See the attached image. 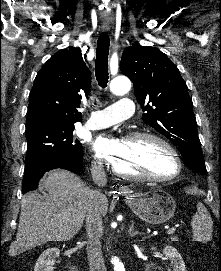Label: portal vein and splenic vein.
<instances>
[{
    "label": "portal vein and splenic vein",
    "instance_id": "portal-vein-and-splenic-vein-1",
    "mask_svg": "<svg viewBox=\"0 0 221 271\" xmlns=\"http://www.w3.org/2000/svg\"><path fill=\"white\" fill-rule=\"evenodd\" d=\"M176 231V227H170V229H168L167 233H175Z\"/></svg>",
    "mask_w": 221,
    "mask_h": 271
}]
</instances>
